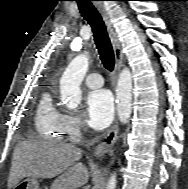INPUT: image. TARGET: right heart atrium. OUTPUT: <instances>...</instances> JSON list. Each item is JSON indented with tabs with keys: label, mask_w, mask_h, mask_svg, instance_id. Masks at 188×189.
<instances>
[{
	"label": "right heart atrium",
	"mask_w": 188,
	"mask_h": 189,
	"mask_svg": "<svg viewBox=\"0 0 188 189\" xmlns=\"http://www.w3.org/2000/svg\"><path fill=\"white\" fill-rule=\"evenodd\" d=\"M65 120L67 132H69L72 137H76L83 127L81 119L77 115L67 114Z\"/></svg>",
	"instance_id": "d8ad5b80"
}]
</instances>
